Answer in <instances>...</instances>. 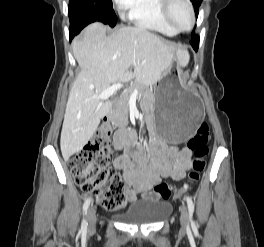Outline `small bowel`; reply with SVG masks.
Here are the masks:
<instances>
[{"instance_id": "small-bowel-1", "label": "small bowel", "mask_w": 264, "mask_h": 247, "mask_svg": "<svg viewBox=\"0 0 264 247\" xmlns=\"http://www.w3.org/2000/svg\"><path fill=\"white\" fill-rule=\"evenodd\" d=\"M114 145L119 151L114 167L124 174L130 201H135L137 194L157 199L153 189L162 178L180 181L190 168L191 151L186 147L179 149L168 145L155 133L149 148L145 149L136 132L122 126L114 135Z\"/></svg>"}]
</instances>
